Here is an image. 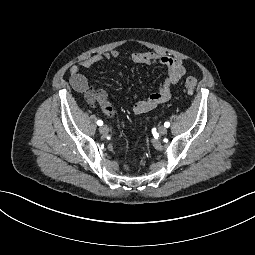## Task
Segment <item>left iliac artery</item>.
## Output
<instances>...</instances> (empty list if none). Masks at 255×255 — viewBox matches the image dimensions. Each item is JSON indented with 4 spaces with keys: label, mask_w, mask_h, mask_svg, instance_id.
<instances>
[{
    "label": "left iliac artery",
    "mask_w": 255,
    "mask_h": 255,
    "mask_svg": "<svg viewBox=\"0 0 255 255\" xmlns=\"http://www.w3.org/2000/svg\"><path fill=\"white\" fill-rule=\"evenodd\" d=\"M164 126L168 128L170 126V123L169 122H165Z\"/></svg>",
    "instance_id": "44dca946"
}]
</instances>
